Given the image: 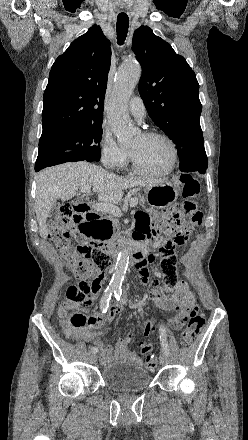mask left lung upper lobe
<instances>
[{"label": "left lung upper lobe", "instance_id": "5c2ea615", "mask_svg": "<svg viewBox=\"0 0 248 440\" xmlns=\"http://www.w3.org/2000/svg\"><path fill=\"white\" fill-rule=\"evenodd\" d=\"M132 50L142 66L139 93L151 119L176 144L180 170L207 168L200 126L199 84L186 60L147 26L138 28Z\"/></svg>", "mask_w": 248, "mask_h": 440}]
</instances>
